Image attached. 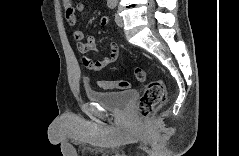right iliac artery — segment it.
I'll list each match as a JSON object with an SVG mask.
<instances>
[{
  "mask_svg": "<svg viewBox=\"0 0 239 156\" xmlns=\"http://www.w3.org/2000/svg\"><path fill=\"white\" fill-rule=\"evenodd\" d=\"M114 6H115V4H113V3L109 4V8H111V9L114 8Z\"/></svg>",
  "mask_w": 239,
  "mask_h": 156,
  "instance_id": "right-iliac-artery-1",
  "label": "right iliac artery"
}]
</instances>
